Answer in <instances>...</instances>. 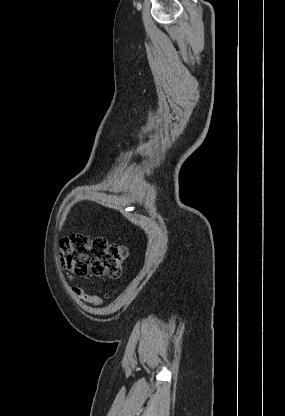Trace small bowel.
<instances>
[{
  "mask_svg": "<svg viewBox=\"0 0 285 416\" xmlns=\"http://www.w3.org/2000/svg\"><path fill=\"white\" fill-rule=\"evenodd\" d=\"M74 293L80 297L81 299L91 303L93 306L98 307L102 304V299L96 294H90L85 292L84 290L80 288H76Z\"/></svg>",
  "mask_w": 285,
  "mask_h": 416,
  "instance_id": "c3829d8e",
  "label": "small bowel"
}]
</instances>
